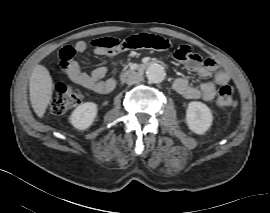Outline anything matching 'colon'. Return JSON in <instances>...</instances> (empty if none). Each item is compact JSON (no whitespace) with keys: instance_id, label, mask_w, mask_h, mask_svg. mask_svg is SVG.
Returning a JSON list of instances; mask_svg holds the SVG:
<instances>
[{"instance_id":"5ec220e1","label":"colon","mask_w":270,"mask_h":213,"mask_svg":"<svg viewBox=\"0 0 270 213\" xmlns=\"http://www.w3.org/2000/svg\"><path fill=\"white\" fill-rule=\"evenodd\" d=\"M123 46L133 49H148L155 52H161L169 48L172 44L162 37L152 34H138L130 36L122 41ZM173 57L176 61L182 62L189 52V46L186 44L175 46ZM191 59L197 63H206L208 59L203 58L198 53H191ZM61 66L64 69L69 67L68 61H62ZM82 93L66 84H59L55 87L54 98L50 106V111L54 114H64L74 109L81 101ZM216 105L221 108H229L235 105V89L231 85H224L220 88Z\"/></svg>"}]
</instances>
